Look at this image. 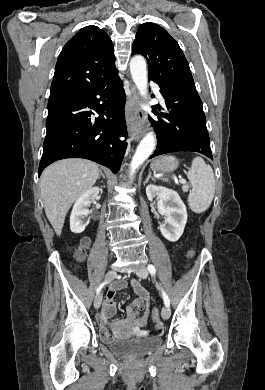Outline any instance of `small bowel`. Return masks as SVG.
Instances as JSON below:
<instances>
[{
	"instance_id": "1",
	"label": "small bowel",
	"mask_w": 265,
	"mask_h": 390,
	"mask_svg": "<svg viewBox=\"0 0 265 390\" xmlns=\"http://www.w3.org/2000/svg\"><path fill=\"white\" fill-rule=\"evenodd\" d=\"M128 284L132 286L135 293L138 295V298L134 300L126 308V316L121 321L123 323L129 324L133 327L135 333L139 335L146 334L145 327L148 325L149 319V294L148 292L140 285V283L133 279L129 282L120 281L113 284L106 293V299L102 311L99 315V325L101 336L105 341H109L112 338L108 330V320L115 314L116 306L114 301V295L116 291L126 287Z\"/></svg>"
}]
</instances>
